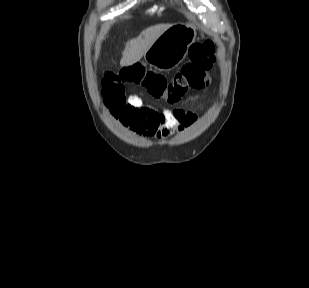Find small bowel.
Here are the masks:
<instances>
[{
  "label": "small bowel",
  "mask_w": 309,
  "mask_h": 288,
  "mask_svg": "<svg viewBox=\"0 0 309 288\" xmlns=\"http://www.w3.org/2000/svg\"><path fill=\"white\" fill-rule=\"evenodd\" d=\"M127 103L131 112L125 114L120 120L130 128L132 133L144 139L167 138L198 120L197 114L182 108L161 111L144 105L141 98L135 95L130 96Z\"/></svg>",
  "instance_id": "obj_1"
}]
</instances>
